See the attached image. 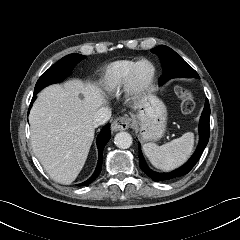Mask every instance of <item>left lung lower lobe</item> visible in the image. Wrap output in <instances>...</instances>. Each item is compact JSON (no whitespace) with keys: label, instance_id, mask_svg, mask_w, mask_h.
<instances>
[{"label":"left lung lower lobe","instance_id":"obj_1","mask_svg":"<svg viewBox=\"0 0 240 240\" xmlns=\"http://www.w3.org/2000/svg\"><path fill=\"white\" fill-rule=\"evenodd\" d=\"M209 118H210V105L208 102V99H206L205 107L202 112L200 122H199V144L198 147L193 154V156L180 168L169 172V173H156L152 171L145 163V160L143 158L141 147L139 144V166L142 169V171L150 177L153 181L159 182V181H165V180H171L175 179L181 176L186 175L191 171V169L195 166L199 158L201 157L207 143L209 140Z\"/></svg>","mask_w":240,"mask_h":240}]
</instances>
